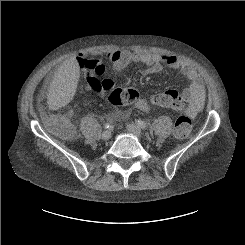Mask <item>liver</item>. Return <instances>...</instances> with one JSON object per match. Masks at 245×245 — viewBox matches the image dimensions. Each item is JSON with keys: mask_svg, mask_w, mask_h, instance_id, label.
I'll return each instance as SVG.
<instances>
[{"mask_svg": "<svg viewBox=\"0 0 245 245\" xmlns=\"http://www.w3.org/2000/svg\"><path fill=\"white\" fill-rule=\"evenodd\" d=\"M79 72V65L74 57L60 65L49 88L47 103L50 110H58L73 99Z\"/></svg>", "mask_w": 245, "mask_h": 245, "instance_id": "liver-1", "label": "liver"}]
</instances>
